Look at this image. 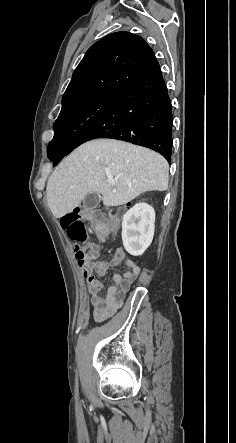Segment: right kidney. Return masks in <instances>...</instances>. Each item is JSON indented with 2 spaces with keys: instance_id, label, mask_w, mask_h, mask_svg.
<instances>
[{
  "instance_id": "obj_1",
  "label": "right kidney",
  "mask_w": 236,
  "mask_h": 443,
  "mask_svg": "<svg viewBox=\"0 0 236 443\" xmlns=\"http://www.w3.org/2000/svg\"><path fill=\"white\" fill-rule=\"evenodd\" d=\"M154 223V208L146 203H138L126 212L122 221V241L129 254L142 255L150 246Z\"/></svg>"
}]
</instances>
